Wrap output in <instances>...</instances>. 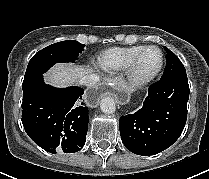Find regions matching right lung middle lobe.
Returning <instances> with one entry per match:
<instances>
[{
	"mask_svg": "<svg viewBox=\"0 0 209 179\" xmlns=\"http://www.w3.org/2000/svg\"><path fill=\"white\" fill-rule=\"evenodd\" d=\"M84 46V44L75 40H68L52 44L37 52L29 61L22 89L25 90L31 82L45 73L55 63L75 62Z\"/></svg>",
	"mask_w": 209,
	"mask_h": 179,
	"instance_id": "1",
	"label": "right lung middle lobe"
}]
</instances>
